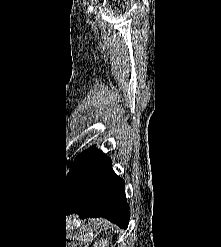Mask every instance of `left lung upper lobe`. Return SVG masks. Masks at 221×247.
I'll return each instance as SVG.
<instances>
[{
    "label": "left lung upper lobe",
    "mask_w": 221,
    "mask_h": 247,
    "mask_svg": "<svg viewBox=\"0 0 221 247\" xmlns=\"http://www.w3.org/2000/svg\"><path fill=\"white\" fill-rule=\"evenodd\" d=\"M87 150L83 151L80 155H78L75 159V161L73 162L68 174H67V177L65 175V186L67 187L70 180L72 179L76 169L78 168V166L80 165L83 157L85 156Z\"/></svg>",
    "instance_id": "5c2ea615"
}]
</instances>
